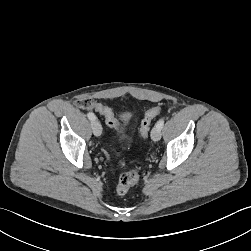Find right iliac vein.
Listing matches in <instances>:
<instances>
[{"label": "right iliac vein", "instance_id": "63e3f726", "mask_svg": "<svg viewBox=\"0 0 251 251\" xmlns=\"http://www.w3.org/2000/svg\"><path fill=\"white\" fill-rule=\"evenodd\" d=\"M91 128L95 136H100L102 134V127L99 121L93 120L91 122Z\"/></svg>", "mask_w": 251, "mask_h": 251}]
</instances>
